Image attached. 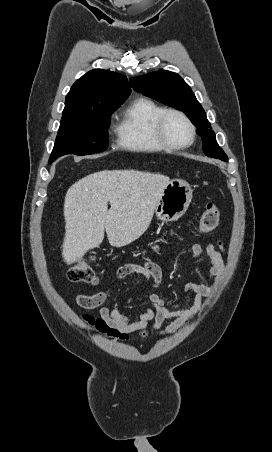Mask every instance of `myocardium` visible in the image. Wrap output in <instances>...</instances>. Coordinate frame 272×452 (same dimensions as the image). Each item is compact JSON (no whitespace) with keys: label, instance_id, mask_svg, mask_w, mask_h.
I'll use <instances>...</instances> for the list:
<instances>
[{"label":"myocardium","instance_id":"myocardium-1","mask_svg":"<svg viewBox=\"0 0 272 452\" xmlns=\"http://www.w3.org/2000/svg\"><path fill=\"white\" fill-rule=\"evenodd\" d=\"M169 115H176V116L180 117L186 123V125L189 128V133H190V138L187 142L178 144V143L172 142L168 138L166 131H165V122ZM155 133H156L158 140L166 148L173 149V150H179V149L187 148L193 144L195 137H196V127L193 124V122L191 121V119L183 111L174 109V108H168V109H164L160 113V115L157 117L156 122H155Z\"/></svg>","mask_w":272,"mask_h":452}]
</instances>
